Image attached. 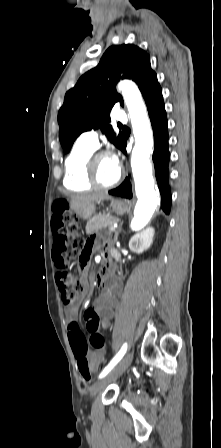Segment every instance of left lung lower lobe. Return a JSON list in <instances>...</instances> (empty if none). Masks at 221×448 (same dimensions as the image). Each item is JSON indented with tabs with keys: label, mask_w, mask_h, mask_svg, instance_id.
<instances>
[{
	"label": "left lung lower lobe",
	"mask_w": 221,
	"mask_h": 448,
	"mask_svg": "<svg viewBox=\"0 0 221 448\" xmlns=\"http://www.w3.org/2000/svg\"><path fill=\"white\" fill-rule=\"evenodd\" d=\"M144 100L148 109L150 121L153 128L155 149L153 152V161L155 165L156 179L161 194V209L166 213H170L171 193L168 185V129L167 117L164 108L161 87H156L144 96ZM120 150L126 154V139ZM109 194L124 198H132V187L128 178L117 187L110 190Z\"/></svg>",
	"instance_id": "1"
}]
</instances>
